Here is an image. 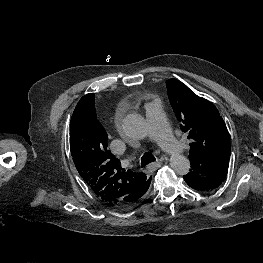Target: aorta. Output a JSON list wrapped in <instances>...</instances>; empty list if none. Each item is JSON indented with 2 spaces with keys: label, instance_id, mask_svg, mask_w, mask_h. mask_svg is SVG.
<instances>
[{
  "label": "aorta",
  "instance_id": "obj_1",
  "mask_svg": "<svg viewBox=\"0 0 263 263\" xmlns=\"http://www.w3.org/2000/svg\"><path fill=\"white\" fill-rule=\"evenodd\" d=\"M124 134L131 139H142L146 135L145 119L136 113L126 115L122 121ZM170 166L178 175H186L190 169V161L183 155H173L170 159Z\"/></svg>",
  "mask_w": 263,
  "mask_h": 263
}]
</instances>
